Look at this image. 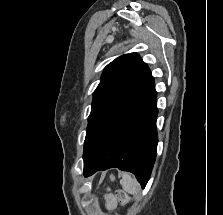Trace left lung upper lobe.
Here are the masks:
<instances>
[{"instance_id": "1", "label": "left lung upper lobe", "mask_w": 223, "mask_h": 215, "mask_svg": "<svg viewBox=\"0 0 223 215\" xmlns=\"http://www.w3.org/2000/svg\"><path fill=\"white\" fill-rule=\"evenodd\" d=\"M153 84L150 69L136 53L122 55L105 67L93 93L84 142V165L93 158L112 128Z\"/></svg>"}]
</instances>
